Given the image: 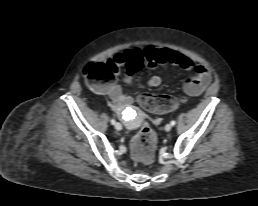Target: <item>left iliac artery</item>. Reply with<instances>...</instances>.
<instances>
[{
  "label": "left iliac artery",
  "instance_id": "44dca946",
  "mask_svg": "<svg viewBox=\"0 0 258 206\" xmlns=\"http://www.w3.org/2000/svg\"><path fill=\"white\" fill-rule=\"evenodd\" d=\"M170 124H171L172 126H174V125L176 124V121H175V120H172V121L170 122Z\"/></svg>",
  "mask_w": 258,
  "mask_h": 206
}]
</instances>
